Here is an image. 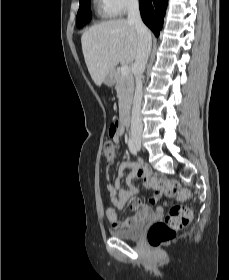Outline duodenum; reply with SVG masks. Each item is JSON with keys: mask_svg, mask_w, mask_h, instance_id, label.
I'll list each match as a JSON object with an SVG mask.
<instances>
[{"mask_svg": "<svg viewBox=\"0 0 229 280\" xmlns=\"http://www.w3.org/2000/svg\"><path fill=\"white\" fill-rule=\"evenodd\" d=\"M119 122L123 130L129 125V114L127 110H123L120 115Z\"/></svg>", "mask_w": 229, "mask_h": 280, "instance_id": "410a0bca", "label": "duodenum"}]
</instances>
